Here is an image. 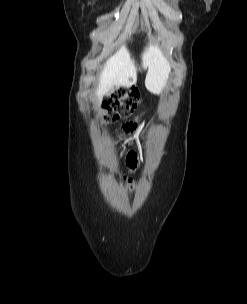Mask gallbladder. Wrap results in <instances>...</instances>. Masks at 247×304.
Masks as SVG:
<instances>
[{"mask_svg":"<svg viewBox=\"0 0 247 304\" xmlns=\"http://www.w3.org/2000/svg\"><path fill=\"white\" fill-rule=\"evenodd\" d=\"M112 92V89L110 91H108V94H110Z\"/></svg>","mask_w":247,"mask_h":304,"instance_id":"bac80fb5","label":"gallbladder"}]
</instances>
